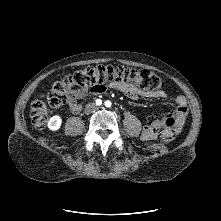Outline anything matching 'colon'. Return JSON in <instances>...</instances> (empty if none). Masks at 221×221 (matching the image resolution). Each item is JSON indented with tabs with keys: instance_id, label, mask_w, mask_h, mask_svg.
I'll return each mask as SVG.
<instances>
[{
	"instance_id": "colon-1",
	"label": "colon",
	"mask_w": 221,
	"mask_h": 221,
	"mask_svg": "<svg viewBox=\"0 0 221 221\" xmlns=\"http://www.w3.org/2000/svg\"><path fill=\"white\" fill-rule=\"evenodd\" d=\"M114 81L132 85L142 91H160L164 87V81L146 69L111 65L87 67L55 82L45 96L46 101L38 99L32 102L30 109L32 124L36 128H44L48 119V105L54 108L65 105L73 91L77 89L94 91ZM175 137V119L168 118L162 127L161 141L163 144H168Z\"/></svg>"
}]
</instances>
